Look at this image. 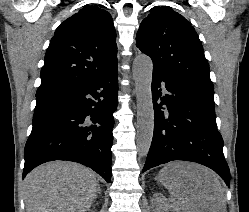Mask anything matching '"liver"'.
<instances>
[{"label":"liver","mask_w":249,"mask_h":212,"mask_svg":"<svg viewBox=\"0 0 249 212\" xmlns=\"http://www.w3.org/2000/svg\"><path fill=\"white\" fill-rule=\"evenodd\" d=\"M166 168L171 212H226L224 190L215 172L190 162H173ZM24 182L26 212H87L100 192L93 172L74 162L42 164Z\"/></svg>","instance_id":"1"}]
</instances>
